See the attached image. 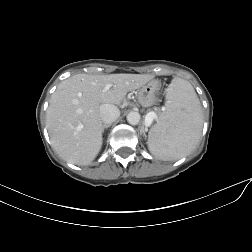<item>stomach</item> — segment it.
I'll return each mask as SVG.
<instances>
[{
    "instance_id": "obj_1",
    "label": "stomach",
    "mask_w": 252,
    "mask_h": 252,
    "mask_svg": "<svg viewBox=\"0 0 252 252\" xmlns=\"http://www.w3.org/2000/svg\"><path fill=\"white\" fill-rule=\"evenodd\" d=\"M160 89L161 84L159 81L157 80L149 81L138 90L137 98L139 103L144 107H149L153 105L158 99Z\"/></svg>"
}]
</instances>
